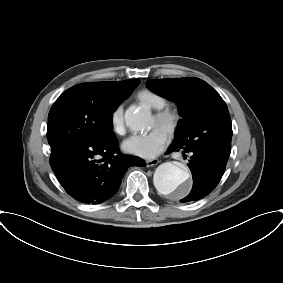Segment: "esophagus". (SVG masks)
<instances>
[{"label":"esophagus","mask_w":283,"mask_h":283,"mask_svg":"<svg viewBox=\"0 0 283 283\" xmlns=\"http://www.w3.org/2000/svg\"><path fill=\"white\" fill-rule=\"evenodd\" d=\"M158 163H159L158 159H150V160L146 161V166L147 167H152V166L157 165Z\"/></svg>","instance_id":"obj_1"}]
</instances>
